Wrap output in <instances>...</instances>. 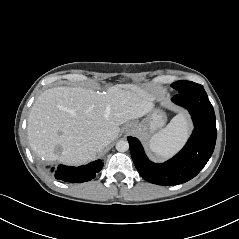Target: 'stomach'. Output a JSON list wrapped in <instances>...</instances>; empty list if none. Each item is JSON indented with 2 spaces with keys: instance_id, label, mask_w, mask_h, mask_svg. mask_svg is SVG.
I'll return each mask as SVG.
<instances>
[{
  "instance_id": "obj_1",
  "label": "stomach",
  "mask_w": 239,
  "mask_h": 239,
  "mask_svg": "<svg viewBox=\"0 0 239 239\" xmlns=\"http://www.w3.org/2000/svg\"><path fill=\"white\" fill-rule=\"evenodd\" d=\"M166 115L160 110H154L149 113L141 121H135L133 124L136 125L135 132L150 137L160 130L166 123Z\"/></svg>"
}]
</instances>
